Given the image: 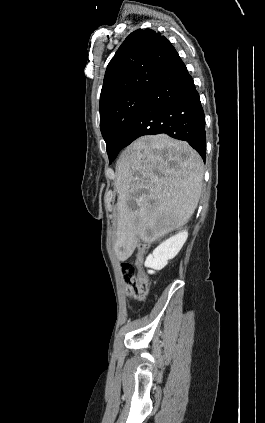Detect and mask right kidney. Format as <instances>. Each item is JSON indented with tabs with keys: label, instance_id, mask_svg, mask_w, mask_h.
<instances>
[{
	"label": "right kidney",
	"instance_id": "obj_1",
	"mask_svg": "<svg viewBox=\"0 0 265 423\" xmlns=\"http://www.w3.org/2000/svg\"><path fill=\"white\" fill-rule=\"evenodd\" d=\"M188 237L187 231H182L161 243L145 261V266L151 268L149 274L163 269L168 261L173 259L181 250Z\"/></svg>",
	"mask_w": 265,
	"mask_h": 423
}]
</instances>
